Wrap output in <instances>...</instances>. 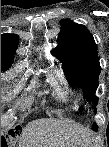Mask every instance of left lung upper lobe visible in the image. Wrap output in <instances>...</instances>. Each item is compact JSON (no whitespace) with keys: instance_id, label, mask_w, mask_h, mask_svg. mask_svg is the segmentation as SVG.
<instances>
[{"instance_id":"left-lung-upper-lobe-1","label":"left lung upper lobe","mask_w":109,"mask_h":147,"mask_svg":"<svg viewBox=\"0 0 109 147\" xmlns=\"http://www.w3.org/2000/svg\"><path fill=\"white\" fill-rule=\"evenodd\" d=\"M61 23L65 25L58 36L59 46L53 53L62 62L63 71L72 87L82 88L86 99L93 100L96 113L98 98L95 92L101 72L96 43L84 25L69 20H62ZM92 129L97 130V125L94 124Z\"/></svg>"}]
</instances>
